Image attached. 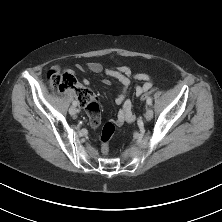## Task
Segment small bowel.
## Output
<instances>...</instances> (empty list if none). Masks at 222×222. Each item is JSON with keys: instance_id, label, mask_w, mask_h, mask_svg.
I'll list each match as a JSON object with an SVG mask.
<instances>
[{"instance_id": "1", "label": "small bowel", "mask_w": 222, "mask_h": 222, "mask_svg": "<svg viewBox=\"0 0 222 222\" xmlns=\"http://www.w3.org/2000/svg\"><path fill=\"white\" fill-rule=\"evenodd\" d=\"M79 69H82L81 66H78ZM86 69L92 73L98 74L104 73L113 79H116L121 84V91L118 96L115 98V103L120 105L121 108L118 111L116 118L114 119L113 123L117 126H122L125 123H132L135 121V115L132 111V102L130 99L127 98L128 90L131 85L132 79L142 82L141 85L136 86L135 94L136 96L140 97L146 93L147 90L151 89L152 87V79L146 73H136L132 74L129 67L122 66L119 68H108L104 70L103 65L100 62H89L86 64ZM84 85L89 84V79L84 78L82 80ZM102 82L106 85L110 84V80L103 79ZM101 121V117L99 113H92L90 114V124L92 127L96 128Z\"/></svg>"}]
</instances>
